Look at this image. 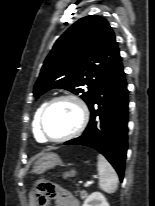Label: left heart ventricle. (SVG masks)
I'll return each instance as SVG.
<instances>
[{
    "label": "left heart ventricle",
    "instance_id": "1",
    "mask_svg": "<svg viewBox=\"0 0 155 206\" xmlns=\"http://www.w3.org/2000/svg\"><path fill=\"white\" fill-rule=\"evenodd\" d=\"M79 119V111L73 102H58L50 108L45 116L44 131L53 138L63 137L76 129Z\"/></svg>",
    "mask_w": 155,
    "mask_h": 206
}]
</instances>
